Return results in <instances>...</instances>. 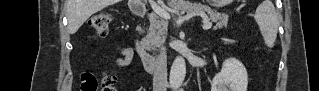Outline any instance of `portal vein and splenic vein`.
<instances>
[{
  "label": "portal vein and splenic vein",
  "mask_w": 319,
  "mask_h": 91,
  "mask_svg": "<svg viewBox=\"0 0 319 91\" xmlns=\"http://www.w3.org/2000/svg\"><path fill=\"white\" fill-rule=\"evenodd\" d=\"M151 7L153 9V11L160 16L162 19L168 20L170 19V14L164 10L163 8H161L157 3H155L153 0L150 1ZM212 27V23L211 22H204L202 28L207 30L210 29Z\"/></svg>",
  "instance_id": "1"
}]
</instances>
